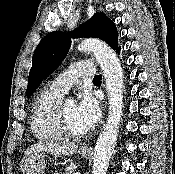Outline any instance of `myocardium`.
<instances>
[{"label":"myocardium","instance_id":"f54148a6","mask_svg":"<svg viewBox=\"0 0 175 174\" xmlns=\"http://www.w3.org/2000/svg\"><path fill=\"white\" fill-rule=\"evenodd\" d=\"M56 121L61 134L65 138L79 139L88 134V130L84 132H75L69 128L64 114V104H60L57 109Z\"/></svg>","mask_w":175,"mask_h":174}]
</instances>
